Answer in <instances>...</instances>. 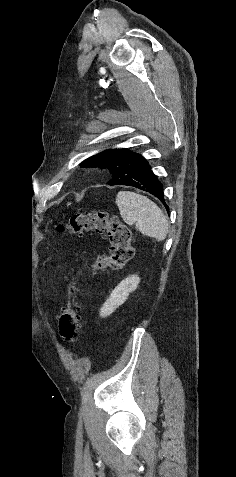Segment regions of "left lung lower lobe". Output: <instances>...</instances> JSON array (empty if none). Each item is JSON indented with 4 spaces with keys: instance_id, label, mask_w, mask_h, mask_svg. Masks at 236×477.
I'll return each mask as SVG.
<instances>
[{
    "instance_id": "obj_1",
    "label": "left lung lower lobe",
    "mask_w": 236,
    "mask_h": 477,
    "mask_svg": "<svg viewBox=\"0 0 236 477\" xmlns=\"http://www.w3.org/2000/svg\"><path fill=\"white\" fill-rule=\"evenodd\" d=\"M118 185L132 186L146 191L158 198L168 211L163 195V185L151 171L147 160L140 156L135 162L130 175Z\"/></svg>"
}]
</instances>
